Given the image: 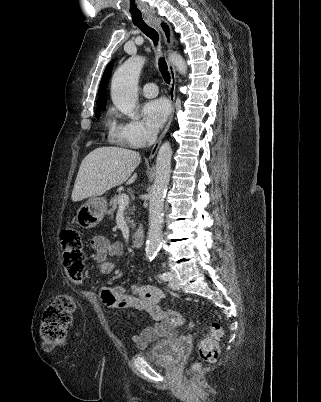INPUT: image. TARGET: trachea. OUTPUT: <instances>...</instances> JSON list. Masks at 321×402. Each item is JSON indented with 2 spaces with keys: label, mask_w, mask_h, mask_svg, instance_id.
I'll return each mask as SVG.
<instances>
[{
  "label": "trachea",
  "mask_w": 321,
  "mask_h": 402,
  "mask_svg": "<svg viewBox=\"0 0 321 402\" xmlns=\"http://www.w3.org/2000/svg\"><path fill=\"white\" fill-rule=\"evenodd\" d=\"M147 37H149L155 46L158 45V40H159V36L158 33L156 32L155 29H153L152 27L148 26L147 24L143 23V24H135ZM159 70L162 73V76L164 78V81L167 84H170L171 81V77L170 74L167 70V64L165 62V60L163 58L159 59Z\"/></svg>",
  "instance_id": "1"
}]
</instances>
